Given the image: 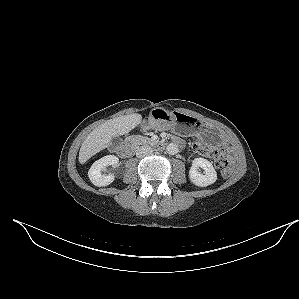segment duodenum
Returning <instances> with one entry per match:
<instances>
[{
    "label": "duodenum",
    "mask_w": 299,
    "mask_h": 299,
    "mask_svg": "<svg viewBox=\"0 0 299 299\" xmlns=\"http://www.w3.org/2000/svg\"><path fill=\"white\" fill-rule=\"evenodd\" d=\"M175 144L179 145L178 142H175ZM153 146H154V148H156L158 150H161V149L164 148L165 143H163V142H156V143H154ZM132 150H133L132 144L131 143H127V142L123 143V144H121V145H119L117 147V153L121 157H124V158L129 157L131 155V153H132Z\"/></svg>",
    "instance_id": "duodenum-1"
}]
</instances>
